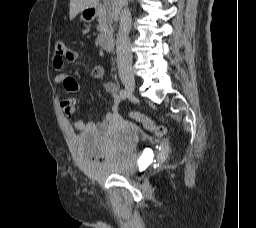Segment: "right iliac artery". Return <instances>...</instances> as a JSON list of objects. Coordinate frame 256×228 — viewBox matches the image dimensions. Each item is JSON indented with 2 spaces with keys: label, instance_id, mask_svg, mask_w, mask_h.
Instances as JSON below:
<instances>
[{
  "label": "right iliac artery",
  "instance_id": "82829eb1",
  "mask_svg": "<svg viewBox=\"0 0 256 228\" xmlns=\"http://www.w3.org/2000/svg\"><path fill=\"white\" fill-rule=\"evenodd\" d=\"M128 97V92L125 90V89H122L121 91H120V98L121 99H126Z\"/></svg>",
  "mask_w": 256,
  "mask_h": 228
}]
</instances>
